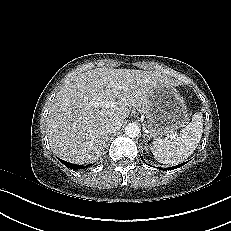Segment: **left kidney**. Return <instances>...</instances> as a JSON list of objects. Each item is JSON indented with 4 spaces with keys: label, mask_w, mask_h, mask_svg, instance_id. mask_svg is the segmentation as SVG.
Instances as JSON below:
<instances>
[{
    "label": "left kidney",
    "mask_w": 231,
    "mask_h": 231,
    "mask_svg": "<svg viewBox=\"0 0 231 231\" xmlns=\"http://www.w3.org/2000/svg\"><path fill=\"white\" fill-rule=\"evenodd\" d=\"M145 150H146V151L148 150L147 146H145Z\"/></svg>",
    "instance_id": "5707ae66"
}]
</instances>
